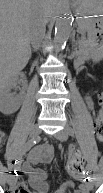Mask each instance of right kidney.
Returning a JSON list of instances; mask_svg holds the SVG:
<instances>
[{"mask_svg":"<svg viewBox=\"0 0 103 193\" xmlns=\"http://www.w3.org/2000/svg\"><path fill=\"white\" fill-rule=\"evenodd\" d=\"M17 75L4 77L1 75L0 80V110L5 115L15 113L20 103L10 93L11 89L16 86Z\"/></svg>","mask_w":103,"mask_h":193,"instance_id":"obj_1","label":"right kidney"}]
</instances>
